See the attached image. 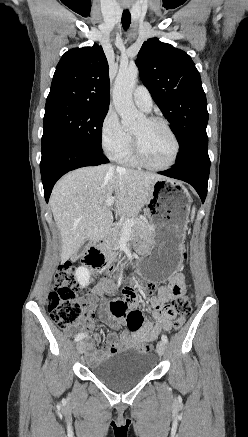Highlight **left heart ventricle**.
Segmentation results:
<instances>
[{
  "instance_id": "1",
  "label": "left heart ventricle",
  "mask_w": 248,
  "mask_h": 437,
  "mask_svg": "<svg viewBox=\"0 0 248 437\" xmlns=\"http://www.w3.org/2000/svg\"><path fill=\"white\" fill-rule=\"evenodd\" d=\"M146 160L153 165L168 163L174 152V142L161 124L141 120L132 130Z\"/></svg>"
}]
</instances>
